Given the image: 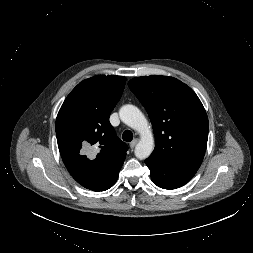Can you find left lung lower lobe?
I'll return each mask as SVG.
<instances>
[{"instance_id": "1", "label": "left lung lower lobe", "mask_w": 253, "mask_h": 253, "mask_svg": "<svg viewBox=\"0 0 253 253\" xmlns=\"http://www.w3.org/2000/svg\"><path fill=\"white\" fill-rule=\"evenodd\" d=\"M145 163L150 169L152 181L158 187L176 189L192 179V176L167 169L149 158L145 160Z\"/></svg>"}]
</instances>
